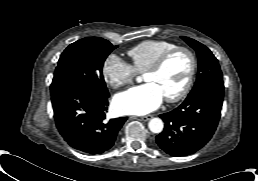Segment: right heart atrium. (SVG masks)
I'll return each instance as SVG.
<instances>
[{"label":"right heart atrium","mask_w":258,"mask_h":181,"mask_svg":"<svg viewBox=\"0 0 258 181\" xmlns=\"http://www.w3.org/2000/svg\"><path fill=\"white\" fill-rule=\"evenodd\" d=\"M103 78L113 88H119L131 83L136 77V71L131 64L117 55H109L102 66Z\"/></svg>","instance_id":"1"}]
</instances>
